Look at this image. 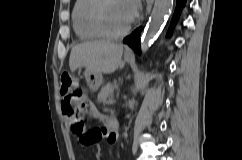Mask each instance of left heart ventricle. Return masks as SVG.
<instances>
[{
	"label": "left heart ventricle",
	"mask_w": 242,
	"mask_h": 160,
	"mask_svg": "<svg viewBox=\"0 0 242 160\" xmlns=\"http://www.w3.org/2000/svg\"><path fill=\"white\" fill-rule=\"evenodd\" d=\"M101 18L104 28L112 34L120 33L131 22L123 0H107L102 8Z\"/></svg>",
	"instance_id": "1"
}]
</instances>
